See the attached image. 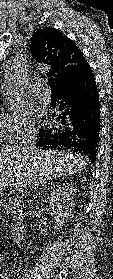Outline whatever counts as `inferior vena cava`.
Instances as JSON below:
<instances>
[{
    "instance_id": "inferior-vena-cava-1",
    "label": "inferior vena cava",
    "mask_w": 113,
    "mask_h": 279,
    "mask_svg": "<svg viewBox=\"0 0 113 279\" xmlns=\"http://www.w3.org/2000/svg\"><path fill=\"white\" fill-rule=\"evenodd\" d=\"M35 135H36V130L34 127H29L27 132L24 134L22 140L19 142L18 147L25 150V151H32L36 147V142H35Z\"/></svg>"
}]
</instances>
